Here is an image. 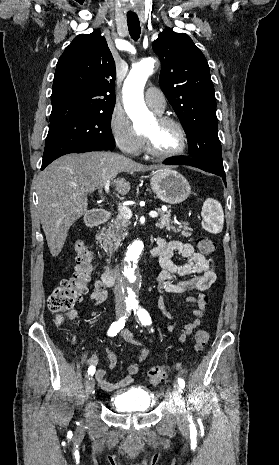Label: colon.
<instances>
[{
  "label": "colon",
  "instance_id": "obj_1",
  "mask_svg": "<svg viewBox=\"0 0 279 465\" xmlns=\"http://www.w3.org/2000/svg\"><path fill=\"white\" fill-rule=\"evenodd\" d=\"M196 243L202 254L208 255L215 250V242L206 234L200 235ZM74 249L76 266L73 275L62 280L48 298V308L56 314L58 324L75 317V304L87 293L94 270L93 253L81 242H76ZM203 302L208 303V296L203 297ZM194 339L195 350L200 352L209 341V333L200 328L195 332ZM168 374L167 367L154 366L148 372V380L152 385H158L167 378Z\"/></svg>",
  "mask_w": 279,
  "mask_h": 465
}]
</instances>
